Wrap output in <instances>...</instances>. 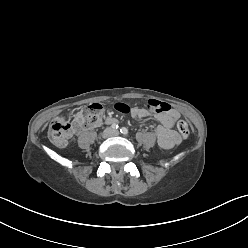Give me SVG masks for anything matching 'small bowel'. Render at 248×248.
I'll return each mask as SVG.
<instances>
[{"instance_id": "small-bowel-1", "label": "small bowel", "mask_w": 248, "mask_h": 248, "mask_svg": "<svg viewBox=\"0 0 248 248\" xmlns=\"http://www.w3.org/2000/svg\"><path fill=\"white\" fill-rule=\"evenodd\" d=\"M130 114L134 118L144 119L149 116V112L144 108L135 107L131 109ZM179 118V113L174 109H169L157 115V120L160 122L155 129V135L158 144L165 149L172 148L179 143L180 138L173 130L175 121Z\"/></svg>"}]
</instances>
